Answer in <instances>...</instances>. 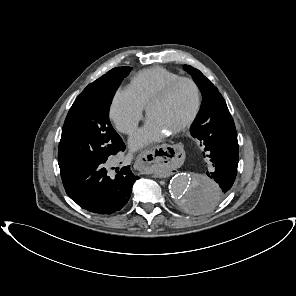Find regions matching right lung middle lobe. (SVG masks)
Segmentation results:
<instances>
[{"label":"right lung middle lobe","instance_id":"obj_1","mask_svg":"<svg viewBox=\"0 0 296 296\" xmlns=\"http://www.w3.org/2000/svg\"><path fill=\"white\" fill-rule=\"evenodd\" d=\"M131 68L117 67L89 84L65 119L58 150L61 172L108 158L124 149L108 116L117 87Z\"/></svg>","mask_w":296,"mask_h":296}]
</instances>
